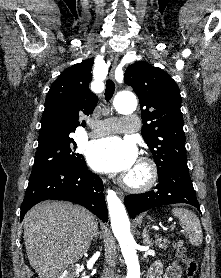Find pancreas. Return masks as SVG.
Segmentation results:
<instances>
[{
  "instance_id": "obj_1",
  "label": "pancreas",
  "mask_w": 221,
  "mask_h": 278,
  "mask_svg": "<svg viewBox=\"0 0 221 278\" xmlns=\"http://www.w3.org/2000/svg\"><path fill=\"white\" fill-rule=\"evenodd\" d=\"M169 240L164 237H156V245H158L162 249H166L169 244Z\"/></svg>"
}]
</instances>
